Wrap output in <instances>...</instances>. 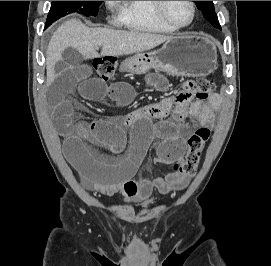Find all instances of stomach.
<instances>
[{
	"mask_svg": "<svg viewBox=\"0 0 271 266\" xmlns=\"http://www.w3.org/2000/svg\"><path fill=\"white\" fill-rule=\"evenodd\" d=\"M217 66L215 43L204 35H180L167 40L156 51L141 52L126 59L122 68L133 74L151 69L173 76L199 77L212 73Z\"/></svg>",
	"mask_w": 271,
	"mask_h": 266,
	"instance_id": "1",
	"label": "stomach"
}]
</instances>
